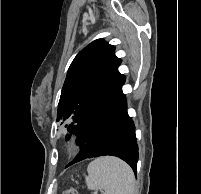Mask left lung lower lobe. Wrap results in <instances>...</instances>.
<instances>
[{
	"label": "left lung lower lobe",
	"mask_w": 201,
	"mask_h": 194,
	"mask_svg": "<svg viewBox=\"0 0 201 194\" xmlns=\"http://www.w3.org/2000/svg\"><path fill=\"white\" fill-rule=\"evenodd\" d=\"M76 135L84 149L66 167L88 158L112 155L127 162L136 173L138 146L135 126L128 116L122 87L84 123Z\"/></svg>",
	"instance_id": "0a47b994"
}]
</instances>
